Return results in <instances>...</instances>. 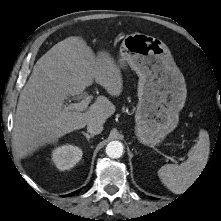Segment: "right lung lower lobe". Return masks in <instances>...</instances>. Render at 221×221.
<instances>
[{"label":"right lung lower lobe","instance_id":"98d812e1","mask_svg":"<svg viewBox=\"0 0 221 221\" xmlns=\"http://www.w3.org/2000/svg\"><path fill=\"white\" fill-rule=\"evenodd\" d=\"M79 192V190H77V191H75V192H73V193H70V194H68L67 196H72V195H74V194H76V193H78Z\"/></svg>","mask_w":221,"mask_h":221}]
</instances>
